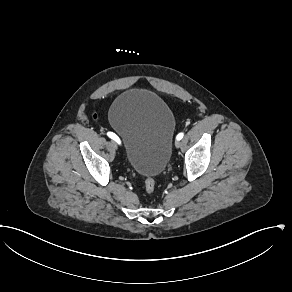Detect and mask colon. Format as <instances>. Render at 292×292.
<instances>
[{
	"mask_svg": "<svg viewBox=\"0 0 292 292\" xmlns=\"http://www.w3.org/2000/svg\"><path fill=\"white\" fill-rule=\"evenodd\" d=\"M156 182L153 178L147 177L144 181V190L147 195H152L155 191Z\"/></svg>",
	"mask_w": 292,
	"mask_h": 292,
	"instance_id": "5ec220e1",
	"label": "colon"
}]
</instances>
